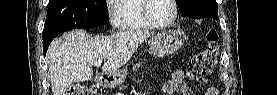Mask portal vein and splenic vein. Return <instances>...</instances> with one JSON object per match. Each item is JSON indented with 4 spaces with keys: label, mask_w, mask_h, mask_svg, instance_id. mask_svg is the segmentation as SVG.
Returning <instances> with one entry per match:
<instances>
[{
    "label": "portal vein and splenic vein",
    "mask_w": 277,
    "mask_h": 95,
    "mask_svg": "<svg viewBox=\"0 0 277 95\" xmlns=\"http://www.w3.org/2000/svg\"><path fill=\"white\" fill-rule=\"evenodd\" d=\"M101 63H102V60H99V61H97V62L95 63V65H96V66H100Z\"/></svg>",
    "instance_id": "portal-vein-and-splenic-vein-1"
}]
</instances>
